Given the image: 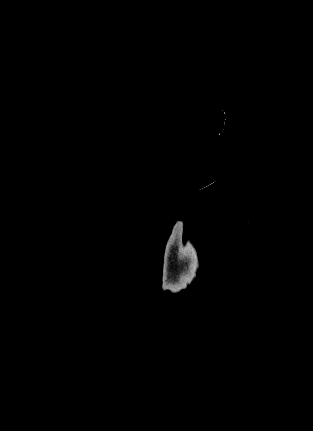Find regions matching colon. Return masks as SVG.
Segmentation results:
<instances>
[{
  "label": "colon",
  "instance_id": "1",
  "mask_svg": "<svg viewBox=\"0 0 313 431\" xmlns=\"http://www.w3.org/2000/svg\"><path fill=\"white\" fill-rule=\"evenodd\" d=\"M233 120H234V118L230 117L228 121L231 123Z\"/></svg>",
  "mask_w": 313,
  "mask_h": 431
}]
</instances>
